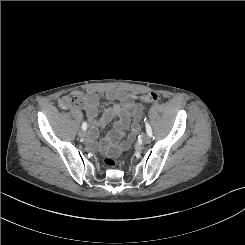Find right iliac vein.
Returning a JSON list of instances; mask_svg holds the SVG:
<instances>
[{
    "mask_svg": "<svg viewBox=\"0 0 245 245\" xmlns=\"http://www.w3.org/2000/svg\"><path fill=\"white\" fill-rule=\"evenodd\" d=\"M78 136L80 137V138H84L85 137V130H80L79 132H78Z\"/></svg>",
    "mask_w": 245,
    "mask_h": 245,
    "instance_id": "1",
    "label": "right iliac vein"
}]
</instances>
